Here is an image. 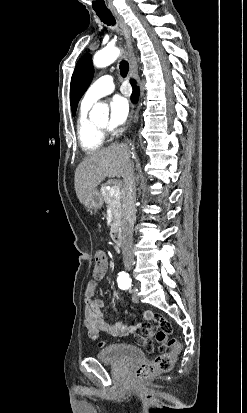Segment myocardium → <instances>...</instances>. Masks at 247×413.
<instances>
[{"mask_svg":"<svg viewBox=\"0 0 247 413\" xmlns=\"http://www.w3.org/2000/svg\"><path fill=\"white\" fill-rule=\"evenodd\" d=\"M100 133L105 136L107 134V128L101 127L99 128Z\"/></svg>","mask_w":247,"mask_h":413,"instance_id":"obj_1","label":"myocardium"}]
</instances>
